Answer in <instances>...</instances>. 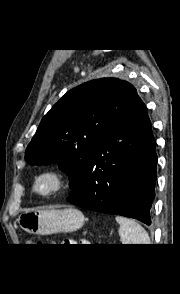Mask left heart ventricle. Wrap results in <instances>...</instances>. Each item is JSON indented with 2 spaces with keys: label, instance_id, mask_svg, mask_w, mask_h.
<instances>
[{
  "label": "left heart ventricle",
  "instance_id": "obj_1",
  "mask_svg": "<svg viewBox=\"0 0 180 294\" xmlns=\"http://www.w3.org/2000/svg\"><path fill=\"white\" fill-rule=\"evenodd\" d=\"M52 186V181L50 179H45L40 183L42 189H48Z\"/></svg>",
  "mask_w": 180,
  "mask_h": 294
}]
</instances>
